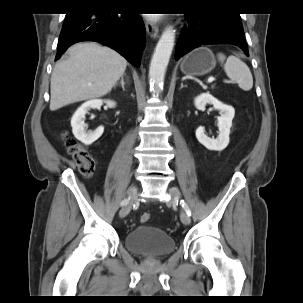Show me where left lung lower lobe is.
<instances>
[{
    "label": "left lung lower lobe",
    "instance_id": "1",
    "mask_svg": "<svg viewBox=\"0 0 303 303\" xmlns=\"http://www.w3.org/2000/svg\"><path fill=\"white\" fill-rule=\"evenodd\" d=\"M185 26L177 42L175 59L202 45L233 44L249 56L240 19L221 17L213 13L185 14Z\"/></svg>",
    "mask_w": 303,
    "mask_h": 303
}]
</instances>
